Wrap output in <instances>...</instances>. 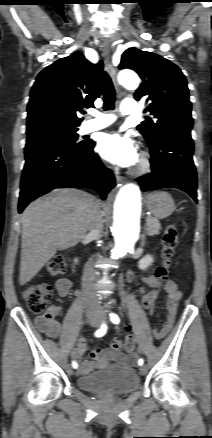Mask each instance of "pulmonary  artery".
Returning <instances> with one entry per match:
<instances>
[{"mask_svg": "<svg viewBox=\"0 0 212 438\" xmlns=\"http://www.w3.org/2000/svg\"><path fill=\"white\" fill-rule=\"evenodd\" d=\"M120 111L122 115L136 114L139 111V104L135 100L126 99L122 102ZM115 120L116 117L112 113L100 112L96 114L95 119L90 120L83 125V132L90 133L103 129L112 124Z\"/></svg>", "mask_w": 212, "mask_h": 438, "instance_id": "e3ab8cb5", "label": "pulmonary artery"}]
</instances>
